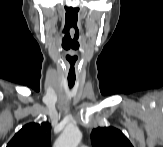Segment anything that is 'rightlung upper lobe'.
<instances>
[{
    "label": "right lung upper lobe",
    "mask_w": 163,
    "mask_h": 147,
    "mask_svg": "<svg viewBox=\"0 0 163 147\" xmlns=\"http://www.w3.org/2000/svg\"><path fill=\"white\" fill-rule=\"evenodd\" d=\"M51 125L29 123L15 134L7 147H50Z\"/></svg>",
    "instance_id": "cb5924a9"
}]
</instances>
